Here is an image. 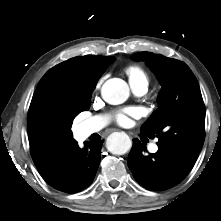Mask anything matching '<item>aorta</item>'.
Masks as SVG:
<instances>
[{"mask_svg": "<svg viewBox=\"0 0 221 221\" xmlns=\"http://www.w3.org/2000/svg\"><path fill=\"white\" fill-rule=\"evenodd\" d=\"M101 95L109 104H122L129 97L128 84L120 78H111L103 84ZM130 147L131 140L125 133L115 132L108 137L107 148L113 154H125Z\"/></svg>", "mask_w": 221, "mask_h": 221, "instance_id": "obj_1", "label": "aorta"}]
</instances>
